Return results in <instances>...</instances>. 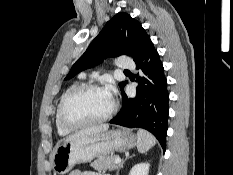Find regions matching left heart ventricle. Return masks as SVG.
Masks as SVG:
<instances>
[{"mask_svg": "<svg viewBox=\"0 0 233 175\" xmlns=\"http://www.w3.org/2000/svg\"><path fill=\"white\" fill-rule=\"evenodd\" d=\"M112 106V98L105 89L84 91L75 96L66 109L73 122H84L105 115Z\"/></svg>", "mask_w": 233, "mask_h": 175, "instance_id": "obj_1", "label": "left heart ventricle"}]
</instances>
